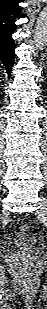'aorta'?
<instances>
[{"label": "aorta", "instance_id": "obj_1", "mask_svg": "<svg viewBox=\"0 0 47 309\" xmlns=\"http://www.w3.org/2000/svg\"><path fill=\"white\" fill-rule=\"evenodd\" d=\"M33 41L37 50H43L47 46V14L45 11L40 14L37 20Z\"/></svg>", "mask_w": 47, "mask_h": 309}]
</instances>
